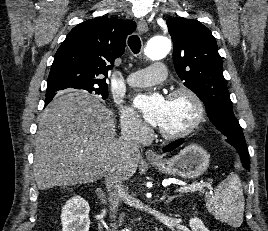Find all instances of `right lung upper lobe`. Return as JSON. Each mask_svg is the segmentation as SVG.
<instances>
[{"instance_id":"1","label":"right lung upper lobe","mask_w":268,"mask_h":231,"mask_svg":"<svg viewBox=\"0 0 268 231\" xmlns=\"http://www.w3.org/2000/svg\"><path fill=\"white\" fill-rule=\"evenodd\" d=\"M135 29L131 20L108 17H96L74 27L55 54L47 89L107 87L108 72L124 53L126 37ZM55 94H46L45 103Z\"/></svg>"}]
</instances>
